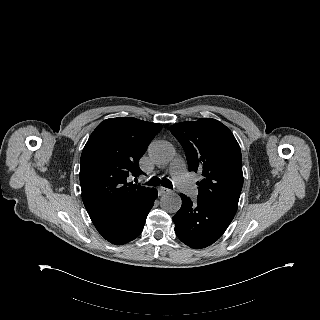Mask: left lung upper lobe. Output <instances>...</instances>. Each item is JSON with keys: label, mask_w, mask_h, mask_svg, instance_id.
Masks as SVG:
<instances>
[{"label": "left lung upper lobe", "mask_w": 320, "mask_h": 320, "mask_svg": "<svg viewBox=\"0 0 320 320\" xmlns=\"http://www.w3.org/2000/svg\"><path fill=\"white\" fill-rule=\"evenodd\" d=\"M171 133L185 150L189 171L200 172L198 198L235 215L243 185L238 142L221 122L211 118L176 123Z\"/></svg>", "instance_id": "5c2ea615"}]
</instances>
